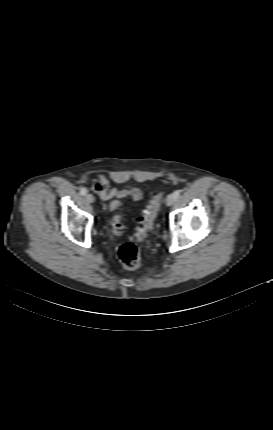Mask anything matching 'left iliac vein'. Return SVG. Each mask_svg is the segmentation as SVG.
<instances>
[{
  "mask_svg": "<svg viewBox=\"0 0 273 430\" xmlns=\"http://www.w3.org/2000/svg\"><path fill=\"white\" fill-rule=\"evenodd\" d=\"M174 201H175V197L173 196V194H170L167 196V199H166L167 206L173 205Z\"/></svg>",
  "mask_w": 273,
  "mask_h": 430,
  "instance_id": "1",
  "label": "left iliac vein"
}]
</instances>
